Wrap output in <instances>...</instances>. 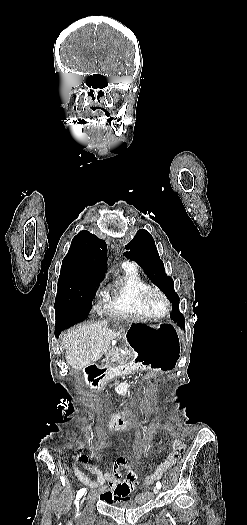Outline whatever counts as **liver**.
Segmentation results:
<instances>
[{
  "label": "liver",
  "mask_w": 247,
  "mask_h": 525,
  "mask_svg": "<svg viewBox=\"0 0 247 525\" xmlns=\"http://www.w3.org/2000/svg\"><path fill=\"white\" fill-rule=\"evenodd\" d=\"M113 337L110 321H97L92 325L87 323L70 329L60 339L61 345L66 349V363L74 371L93 365L106 353Z\"/></svg>",
  "instance_id": "liver-1"
}]
</instances>
